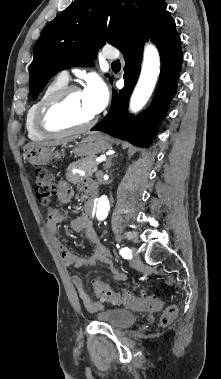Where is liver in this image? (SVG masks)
I'll use <instances>...</instances> for the list:
<instances>
[{
	"label": "liver",
	"mask_w": 221,
	"mask_h": 379,
	"mask_svg": "<svg viewBox=\"0 0 221 379\" xmlns=\"http://www.w3.org/2000/svg\"><path fill=\"white\" fill-rule=\"evenodd\" d=\"M73 140H75V137L66 138L63 140H57V141H53V142L39 143V144H34V145L47 146V147L48 146H56V145L66 144V143L71 142Z\"/></svg>",
	"instance_id": "1"
}]
</instances>
